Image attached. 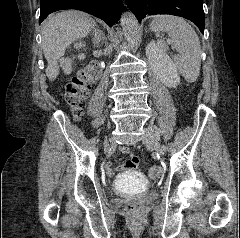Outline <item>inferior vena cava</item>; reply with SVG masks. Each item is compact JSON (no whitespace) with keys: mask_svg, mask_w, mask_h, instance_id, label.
I'll return each mask as SVG.
<instances>
[{"mask_svg":"<svg viewBox=\"0 0 240 238\" xmlns=\"http://www.w3.org/2000/svg\"><path fill=\"white\" fill-rule=\"evenodd\" d=\"M95 39L99 43L101 40V33L99 31H95Z\"/></svg>","mask_w":240,"mask_h":238,"instance_id":"obj_1","label":"inferior vena cava"}]
</instances>
